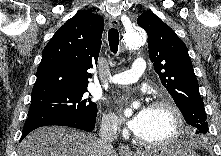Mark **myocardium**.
Instances as JSON below:
<instances>
[{"mask_svg": "<svg viewBox=\"0 0 221 156\" xmlns=\"http://www.w3.org/2000/svg\"><path fill=\"white\" fill-rule=\"evenodd\" d=\"M152 107L165 108L169 110L174 118V129L168 137L155 141L145 140L135 134L136 141L145 147H162L175 142L184 130V117L181 110L174 102L168 99H159L153 103Z\"/></svg>", "mask_w": 221, "mask_h": 156, "instance_id": "1", "label": "myocardium"}]
</instances>
